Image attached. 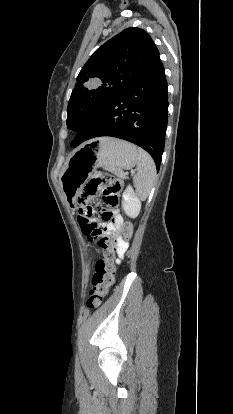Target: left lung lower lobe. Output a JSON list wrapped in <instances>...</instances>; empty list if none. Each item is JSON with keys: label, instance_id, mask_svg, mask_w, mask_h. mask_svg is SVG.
I'll return each instance as SVG.
<instances>
[{"label": "left lung lower lobe", "instance_id": "left-lung-lower-lobe-1", "mask_svg": "<svg viewBox=\"0 0 233 414\" xmlns=\"http://www.w3.org/2000/svg\"><path fill=\"white\" fill-rule=\"evenodd\" d=\"M168 93L160 57L126 90L87 123L72 147L100 136L132 142L146 150L160 168L168 122Z\"/></svg>", "mask_w": 233, "mask_h": 414}]
</instances>
